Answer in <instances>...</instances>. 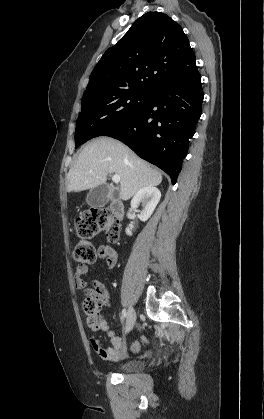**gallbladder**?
I'll return each instance as SVG.
<instances>
[{"instance_id":"bac80fb5","label":"gallbladder","mask_w":264,"mask_h":419,"mask_svg":"<svg viewBox=\"0 0 264 419\" xmlns=\"http://www.w3.org/2000/svg\"><path fill=\"white\" fill-rule=\"evenodd\" d=\"M118 192L115 190L114 195ZM109 201V187L105 184L99 185L89 191L86 202L92 207H102Z\"/></svg>"}]
</instances>
